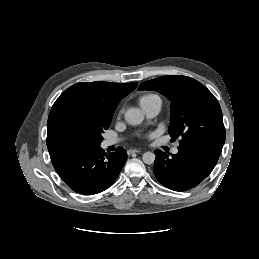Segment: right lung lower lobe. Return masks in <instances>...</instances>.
Listing matches in <instances>:
<instances>
[{
  "mask_svg": "<svg viewBox=\"0 0 259 259\" xmlns=\"http://www.w3.org/2000/svg\"><path fill=\"white\" fill-rule=\"evenodd\" d=\"M49 154L60 178L72 190L84 195L110 187L127 160L123 148L118 147L107 155L100 145L53 148Z\"/></svg>",
  "mask_w": 259,
  "mask_h": 259,
  "instance_id": "98d812e1",
  "label": "right lung lower lobe"
}]
</instances>
